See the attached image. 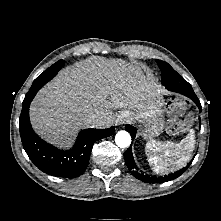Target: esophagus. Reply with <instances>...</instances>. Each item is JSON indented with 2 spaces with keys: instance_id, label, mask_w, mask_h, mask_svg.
<instances>
[{
  "instance_id": "34e87169",
  "label": "esophagus",
  "mask_w": 221,
  "mask_h": 221,
  "mask_svg": "<svg viewBox=\"0 0 221 221\" xmlns=\"http://www.w3.org/2000/svg\"><path fill=\"white\" fill-rule=\"evenodd\" d=\"M125 122V119H122V118H118L117 120H116V125L117 126H119V125H122L123 123Z\"/></svg>"
}]
</instances>
